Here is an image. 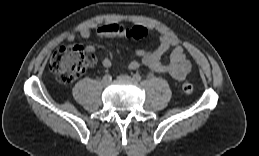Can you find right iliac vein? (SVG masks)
<instances>
[{
	"label": "right iliac vein",
	"mask_w": 259,
	"mask_h": 156,
	"mask_svg": "<svg viewBox=\"0 0 259 156\" xmlns=\"http://www.w3.org/2000/svg\"><path fill=\"white\" fill-rule=\"evenodd\" d=\"M101 83L103 86H107L110 83V80L103 79Z\"/></svg>",
	"instance_id": "1"
}]
</instances>
